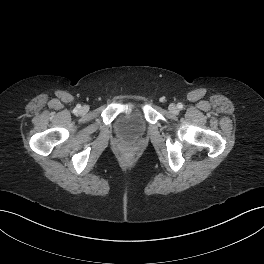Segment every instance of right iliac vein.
<instances>
[{"label": "right iliac vein", "instance_id": "63e3f726", "mask_svg": "<svg viewBox=\"0 0 264 264\" xmlns=\"http://www.w3.org/2000/svg\"><path fill=\"white\" fill-rule=\"evenodd\" d=\"M81 111L85 112V111H86V108H85V107H83Z\"/></svg>", "mask_w": 264, "mask_h": 264}]
</instances>
